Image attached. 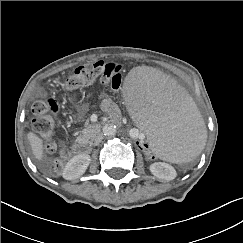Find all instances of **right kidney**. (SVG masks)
<instances>
[{"mask_svg": "<svg viewBox=\"0 0 243 243\" xmlns=\"http://www.w3.org/2000/svg\"><path fill=\"white\" fill-rule=\"evenodd\" d=\"M90 156L88 154H80L71 158L65 166L63 177L72 180L82 176L90 164Z\"/></svg>", "mask_w": 243, "mask_h": 243, "instance_id": "right-kidney-1", "label": "right kidney"}]
</instances>
